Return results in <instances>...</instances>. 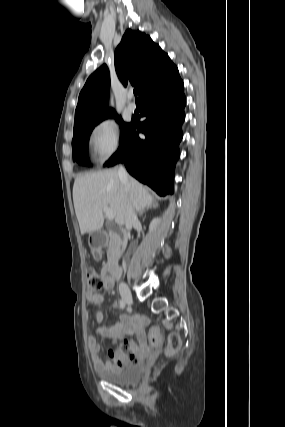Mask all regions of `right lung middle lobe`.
<instances>
[{"label": "right lung middle lobe", "mask_w": 285, "mask_h": 427, "mask_svg": "<svg viewBox=\"0 0 285 427\" xmlns=\"http://www.w3.org/2000/svg\"><path fill=\"white\" fill-rule=\"evenodd\" d=\"M108 117H115L117 122L120 124V144L123 141L125 135L127 134L130 124L122 121L121 117H118L116 113H112L106 117H103L99 120L92 121L87 123L79 128L74 129V136L72 140V149H73V161H76L78 164H89V160L87 158V148H88V139L89 135L99 122Z\"/></svg>", "instance_id": "dd1d6c3e"}]
</instances>
